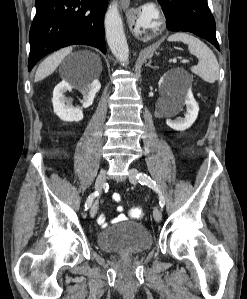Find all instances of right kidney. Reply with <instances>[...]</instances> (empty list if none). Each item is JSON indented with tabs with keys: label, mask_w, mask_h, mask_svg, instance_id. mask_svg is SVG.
Segmentation results:
<instances>
[{
	"label": "right kidney",
	"mask_w": 247,
	"mask_h": 299,
	"mask_svg": "<svg viewBox=\"0 0 247 299\" xmlns=\"http://www.w3.org/2000/svg\"><path fill=\"white\" fill-rule=\"evenodd\" d=\"M73 86L67 81H61L53 91V109L54 113L63 121L73 122L83 119L82 108L92 105L94 98L101 88L98 78L93 79L85 85L78 86L79 91L83 94L82 107H73L72 100L66 98L64 93L71 91Z\"/></svg>",
	"instance_id": "obj_1"
}]
</instances>
